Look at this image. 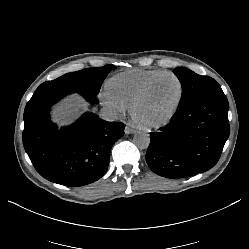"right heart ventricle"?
Returning <instances> with one entry per match:
<instances>
[{"instance_id":"right-heart-ventricle-1","label":"right heart ventricle","mask_w":249,"mask_h":249,"mask_svg":"<svg viewBox=\"0 0 249 249\" xmlns=\"http://www.w3.org/2000/svg\"><path fill=\"white\" fill-rule=\"evenodd\" d=\"M164 72L166 71L159 68L126 70L109 78L105 83V91L128 107L150 79Z\"/></svg>"}]
</instances>
